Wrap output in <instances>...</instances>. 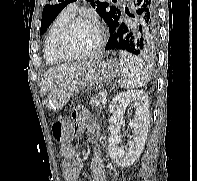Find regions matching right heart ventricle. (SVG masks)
Returning a JSON list of instances; mask_svg holds the SVG:
<instances>
[{
    "instance_id": "e07e8e85",
    "label": "right heart ventricle",
    "mask_w": 197,
    "mask_h": 181,
    "mask_svg": "<svg viewBox=\"0 0 197 181\" xmlns=\"http://www.w3.org/2000/svg\"><path fill=\"white\" fill-rule=\"evenodd\" d=\"M74 13V11L67 8L61 11L50 25L44 45V57L48 63L57 64L63 61L56 52L55 42L61 28L74 16Z\"/></svg>"
}]
</instances>
